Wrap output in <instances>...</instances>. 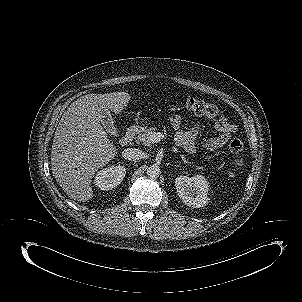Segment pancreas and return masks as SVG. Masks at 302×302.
I'll return each mask as SVG.
<instances>
[{"mask_svg":"<svg viewBox=\"0 0 302 302\" xmlns=\"http://www.w3.org/2000/svg\"><path fill=\"white\" fill-rule=\"evenodd\" d=\"M155 128H147L139 132L137 141L142 144L149 146L151 144L150 137L155 133Z\"/></svg>","mask_w":302,"mask_h":302,"instance_id":"cf45deb5","label":"pancreas"}]
</instances>
